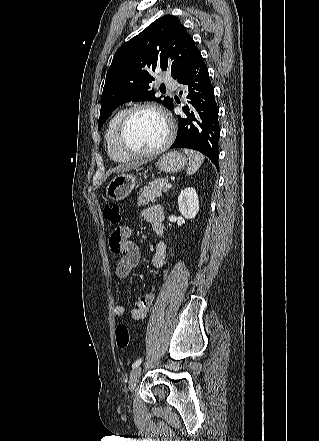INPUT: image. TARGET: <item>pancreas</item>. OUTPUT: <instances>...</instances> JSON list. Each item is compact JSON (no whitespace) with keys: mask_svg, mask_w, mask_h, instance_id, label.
I'll list each match as a JSON object with an SVG mask.
<instances>
[{"mask_svg":"<svg viewBox=\"0 0 319 441\" xmlns=\"http://www.w3.org/2000/svg\"><path fill=\"white\" fill-rule=\"evenodd\" d=\"M168 183V178H158L147 185L143 186L138 197V205L143 206L156 202L162 196V193L167 191L165 185Z\"/></svg>","mask_w":319,"mask_h":441,"instance_id":"pancreas-1","label":"pancreas"}]
</instances>
